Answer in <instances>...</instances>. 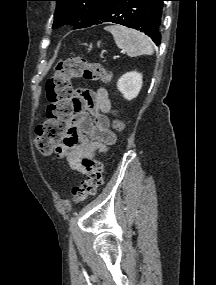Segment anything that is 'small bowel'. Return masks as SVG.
I'll return each mask as SVG.
<instances>
[{"label": "small bowel", "mask_w": 216, "mask_h": 285, "mask_svg": "<svg viewBox=\"0 0 216 285\" xmlns=\"http://www.w3.org/2000/svg\"><path fill=\"white\" fill-rule=\"evenodd\" d=\"M75 98L76 111L56 152L72 169L87 174L82 160L93 157L96 151H106L114 140L107 115L111 101L105 88L81 89Z\"/></svg>", "instance_id": "1"}]
</instances>
